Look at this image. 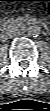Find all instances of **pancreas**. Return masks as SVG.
<instances>
[{"instance_id":"pancreas-1","label":"pancreas","mask_w":50,"mask_h":111,"mask_svg":"<svg viewBox=\"0 0 50 111\" xmlns=\"http://www.w3.org/2000/svg\"><path fill=\"white\" fill-rule=\"evenodd\" d=\"M16 23H17L16 20H13L12 22H6V23L3 24V27L6 28V27H8L10 25L15 26Z\"/></svg>"}]
</instances>
